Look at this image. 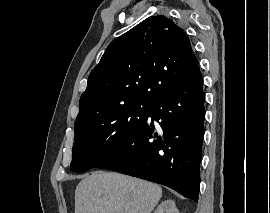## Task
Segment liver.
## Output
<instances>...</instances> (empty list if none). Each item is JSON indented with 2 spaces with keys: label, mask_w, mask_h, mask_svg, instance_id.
Here are the masks:
<instances>
[{
  "label": "liver",
  "mask_w": 270,
  "mask_h": 213,
  "mask_svg": "<svg viewBox=\"0 0 270 213\" xmlns=\"http://www.w3.org/2000/svg\"><path fill=\"white\" fill-rule=\"evenodd\" d=\"M162 197L156 184L113 172H94L75 190V213H151Z\"/></svg>",
  "instance_id": "liver-1"
}]
</instances>
